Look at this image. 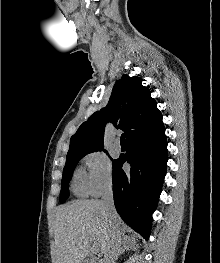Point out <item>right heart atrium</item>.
Here are the masks:
<instances>
[{
    "label": "right heart atrium",
    "instance_id": "right-heart-atrium-1",
    "mask_svg": "<svg viewBox=\"0 0 220 263\" xmlns=\"http://www.w3.org/2000/svg\"><path fill=\"white\" fill-rule=\"evenodd\" d=\"M83 163L87 171L89 192L92 195H100L111 187L113 183L111 162L104 153L100 151L90 152L83 157Z\"/></svg>",
    "mask_w": 220,
    "mask_h": 263
}]
</instances>
